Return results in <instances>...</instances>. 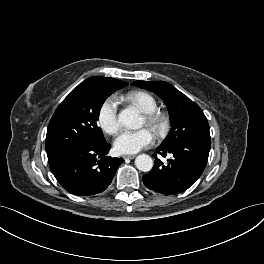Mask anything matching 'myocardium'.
Returning a JSON list of instances; mask_svg holds the SVG:
<instances>
[{"instance_id":"f54148a6","label":"myocardium","mask_w":264,"mask_h":264,"mask_svg":"<svg viewBox=\"0 0 264 264\" xmlns=\"http://www.w3.org/2000/svg\"><path fill=\"white\" fill-rule=\"evenodd\" d=\"M145 124L154 131L158 136L166 135L169 128V121L167 116L159 111L154 110L143 114Z\"/></svg>"}]
</instances>
